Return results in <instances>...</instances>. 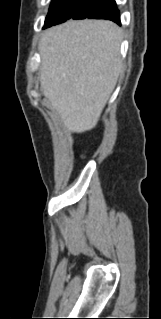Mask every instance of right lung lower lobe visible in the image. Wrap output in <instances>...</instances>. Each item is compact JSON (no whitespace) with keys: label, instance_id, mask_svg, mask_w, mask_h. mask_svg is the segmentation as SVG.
<instances>
[{"label":"right lung lower lobe","instance_id":"obj_1","mask_svg":"<svg viewBox=\"0 0 161 319\" xmlns=\"http://www.w3.org/2000/svg\"><path fill=\"white\" fill-rule=\"evenodd\" d=\"M85 18L91 19H108L112 20L117 24L120 22V12L116 7L115 0H101L98 6Z\"/></svg>","mask_w":161,"mask_h":319}]
</instances>
